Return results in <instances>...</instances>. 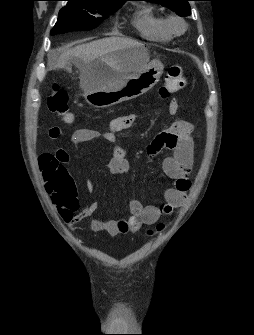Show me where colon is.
Wrapping results in <instances>:
<instances>
[{"label":"colon","mask_w":254,"mask_h":335,"mask_svg":"<svg viewBox=\"0 0 254 335\" xmlns=\"http://www.w3.org/2000/svg\"><path fill=\"white\" fill-rule=\"evenodd\" d=\"M185 78L183 68L179 65L172 66L164 77V85L159 91V97L167 99L172 93L181 90L185 86ZM48 108L53 113L67 122L73 118V114L69 108V96L65 89L54 86L50 92L48 99ZM58 151L54 153H46L40 156L39 162L42 169V175L46 180V190L49 193H55L54 200L61 206L72 195V184L65 168L58 160ZM77 206V203L74 201ZM164 228L163 224H158L157 231ZM152 233L153 230H149Z\"/></svg>","instance_id":"1"}]
</instances>
